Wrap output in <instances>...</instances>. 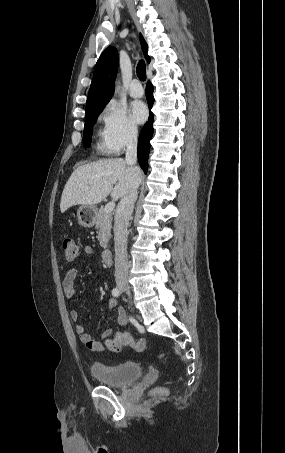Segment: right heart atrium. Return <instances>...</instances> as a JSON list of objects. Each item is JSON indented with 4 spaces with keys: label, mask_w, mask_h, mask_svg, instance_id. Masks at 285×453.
Here are the masks:
<instances>
[{
    "label": "right heart atrium",
    "mask_w": 285,
    "mask_h": 453,
    "mask_svg": "<svg viewBox=\"0 0 285 453\" xmlns=\"http://www.w3.org/2000/svg\"><path fill=\"white\" fill-rule=\"evenodd\" d=\"M102 121L104 124L102 138L108 154L119 155L137 140V126L125 109L115 103L105 107Z\"/></svg>",
    "instance_id": "obj_1"
}]
</instances>
